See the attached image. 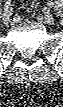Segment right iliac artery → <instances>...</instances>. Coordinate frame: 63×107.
I'll use <instances>...</instances> for the list:
<instances>
[{
	"instance_id": "1",
	"label": "right iliac artery",
	"mask_w": 63,
	"mask_h": 107,
	"mask_svg": "<svg viewBox=\"0 0 63 107\" xmlns=\"http://www.w3.org/2000/svg\"><path fill=\"white\" fill-rule=\"evenodd\" d=\"M12 14V7H11V4L10 2H6L5 5H4V15H11Z\"/></svg>"
}]
</instances>
